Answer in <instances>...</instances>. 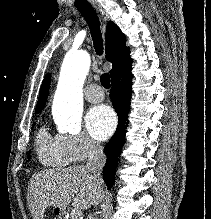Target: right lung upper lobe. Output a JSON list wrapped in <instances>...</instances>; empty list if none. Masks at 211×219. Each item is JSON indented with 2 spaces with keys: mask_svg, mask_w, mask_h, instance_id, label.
Masks as SVG:
<instances>
[{
  "mask_svg": "<svg viewBox=\"0 0 211 219\" xmlns=\"http://www.w3.org/2000/svg\"><path fill=\"white\" fill-rule=\"evenodd\" d=\"M106 59L113 64L110 70L111 79L119 72L129 68L132 64L130 49L126 44V36L120 28L112 21L108 22L106 29ZM51 76L47 74L42 82L36 112H41L44 108L50 86Z\"/></svg>",
  "mask_w": 211,
  "mask_h": 219,
  "instance_id": "right-lung-upper-lobe-1",
  "label": "right lung upper lobe"
}]
</instances>
